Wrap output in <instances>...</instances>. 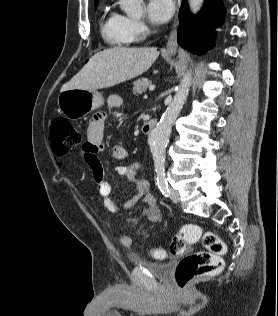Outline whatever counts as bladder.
Masks as SVG:
<instances>
[{
    "instance_id": "bladder-1",
    "label": "bladder",
    "mask_w": 278,
    "mask_h": 316,
    "mask_svg": "<svg viewBox=\"0 0 278 316\" xmlns=\"http://www.w3.org/2000/svg\"><path fill=\"white\" fill-rule=\"evenodd\" d=\"M132 263L146 269L152 275L161 279L170 277L174 267L172 262H155L141 258H132Z\"/></svg>"
}]
</instances>
